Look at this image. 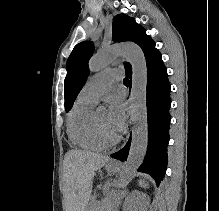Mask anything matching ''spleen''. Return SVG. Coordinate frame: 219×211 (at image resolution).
I'll return each mask as SVG.
<instances>
[{"mask_svg":"<svg viewBox=\"0 0 219 211\" xmlns=\"http://www.w3.org/2000/svg\"><path fill=\"white\" fill-rule=\"evenodd\" d=\"M140 187H148L149 183H146L144 179H138Z\"/></svg>","mask_w":219,"mask_h":211,"instance_id":"3e777b00","label":"spleen"}]
</instances>
